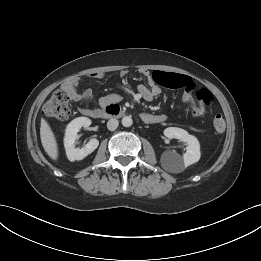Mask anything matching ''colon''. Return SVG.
<instances>
[{
  "label": "colon",
  "instance_id": "obj_1",
  "mask_svg": "<svg viewBox=\"0 0 261 261\" xmlns=\"http://www.w3.org/2000/svg\"><path fill=\"white\" fill-rule=\"evenodd\" d=\"M197 99L202 107L215 104V98L213 95L204 89L197 93ZM68 103V93L64 89H59L55 91L50 99L44 104L43 113L49 118L66 120L70 117L71 113ZM213 126L217 132H223L225 130L226 124L221 114H217L214 117Z\"/></svg>",
  "mask_w": 261,
  "mask_h": 261
}]
</instances>
